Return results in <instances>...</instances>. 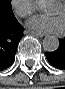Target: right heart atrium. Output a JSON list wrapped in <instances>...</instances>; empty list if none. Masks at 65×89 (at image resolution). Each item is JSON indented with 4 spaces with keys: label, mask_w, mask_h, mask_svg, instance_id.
I'll use <instances>...</instances> for the list:
<instances>
[{
    "label": "right heart atrium",
    "mask_w": 65,
    "mask_h": 89,
    "mask_svg": "<svg viewBox=\"0 0 65 89\" xmlns=\"http://www.w3.org/2000/svg\"><path fill=\"white\" fill-rule=\"evenodd\" d=\"M12 8L20 17H29L35 11V2L33 0H13Z\"/></svg>",
    "instance_id": "obj_1"
}]
</instances>
